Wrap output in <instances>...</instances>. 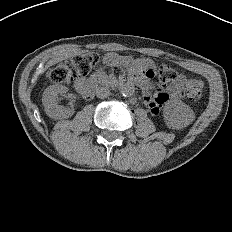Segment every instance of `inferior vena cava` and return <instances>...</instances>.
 <instances>
[{
	"instance_id": "obj_1",
	"label": "inferior vena cava",
	"mask_w": 232,
	"mask_h": 232,
	"mask_svg": "<svg viewBox=\"0 0 232 232\" xmlns=\"http://www.w3.org/2000/svg\"><path fill=\"white\" fill-rule=\"evenodd\" d=\"M110 95V90L107 87H98L96 89V96L98 98L104 99L107 98Z\"/></svg>"
}]
</instances>
